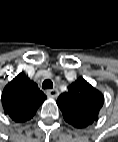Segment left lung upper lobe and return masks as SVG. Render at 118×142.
<instances>
[{"label":"left lung upper lobe","mask_w":118,"mask_h":142,"mask_svg":"<svg viewBox=\"0 0 118 142\" xmlns=\"http://www.w3.org/2000/svg\"><path fill=\"white\" fill-rule=\"evenodd\" d=\"M103 103V94L82 77L57 100L65 121L75 128H85L97 121Z\"/></svg>","instance_id":"left-lung-upper-lobe-1"}]
</instances>
